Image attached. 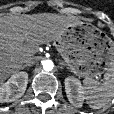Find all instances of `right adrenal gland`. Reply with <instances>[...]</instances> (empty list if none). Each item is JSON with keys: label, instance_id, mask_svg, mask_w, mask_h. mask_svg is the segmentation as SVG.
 I'll use <instances>...</instances> for the list:
<instances>
[{"label": "right adrenal gland", "instance_id": "2a0ac1e0", "mask_svg": "<svg viewBox=\"0 0 114 114\" xmlns=\"http://www.w3.org/2000/svg\"><path fill=\"white\" fill-rule=\"evenodd\" d=\"M25 68H28V66L24 65V66L22 67V69H25Z\"/></svg>", "mask_w": 114, "mask_h": 114}]
</instances>
